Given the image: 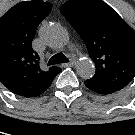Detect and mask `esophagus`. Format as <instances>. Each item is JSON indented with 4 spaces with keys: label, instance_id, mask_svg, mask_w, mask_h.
Listing matches in <instances>:
<instances>
[{
    "label": "esophagus",
    "instance_id": "34e87169",
    "mask_svg": "<svg viewBox=\"0 0 135 135\" xmlns=\"http://www.w3.org/2000/svg\"><path fill=\"white\" fill-rule=\"evenodd\" d=\"M76 64L75 59H71L68 63L64 64L65 66H74Z\"/></svg>",
    "mask_w": 135,
    "mask_h": 135
}]
</instances>
